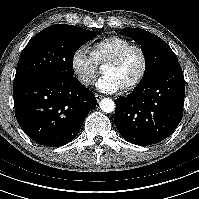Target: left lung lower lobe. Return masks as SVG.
I'll return each mask as SVG.
<instances>
[{"label": "left lung lower lobe", "mask_w": 199, "mask_h": 199, "mask_svg": "<svg viewBox=\"0 0 199 199\" xmlns=\"http://www.w3.org/2000/svg\"><path fill=\"white\" fill-rule=\"evenodd\" d=\"M184 94V76L177 63L139 83L127 97L116 99L115 126L133 144L158 143L180 123Z\"/></svg>", "instance_id": "obj_1"}]
</instances>
